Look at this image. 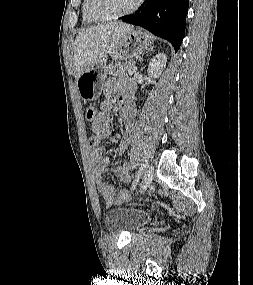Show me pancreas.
Returning <instances> with one entry per match:
<instances>
[{
	"mask_svg": "<svg viewBox=\"0 0 253 285\" xmlns=\"http://www.w3.org/2000/svg\"><path fill=\"white\" fill-rule=\"evenodd\" d=\"M134 66V62L117 63L109 68V74L113 76H127L129 70Z\"/></svg>",
	"mask_w": 253,
	"mask_h": 285,
	"instance_id": "1",
	"label": "pancreas"
}]
</instances>
